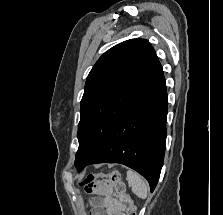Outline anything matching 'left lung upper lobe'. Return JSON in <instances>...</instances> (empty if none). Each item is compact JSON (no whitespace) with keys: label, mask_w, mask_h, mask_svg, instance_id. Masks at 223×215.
I'll return each instance as SVG.
<instances>
[{"label":"left lung upper lobe","mask_w":223,"mask_h":215,"mask_svg":"<svg viewBox=\"0 0 223 215\" xmlns=\"http://www.w3.org/2000/svg\"><path fill=\"white\" fill-rule=\"evenodd\" d=\"M162 66L145 39H131L104 53L90 71L81 100L75 166L93 157L124 113L143 94Z\"/></svg>","instance_id":"1"}]
</instances>
